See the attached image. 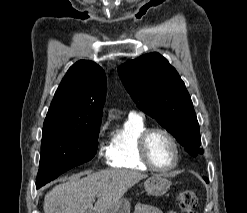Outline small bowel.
<instances>
[{"label":"small bowel","mask_w":247,"mask_h":213,"mask_svg":"<svg viewBox=\"0 0 247 213\" xmlns=\"http://www.w3.org/2000/svg\"><path fill=\"white\" fill-rule=\"evenodd\" d=\"M135 213H163V212L155 206L140 202L135 207ZM167 213H177V212L170 210Z\"/></svg>","instance_id":"1"}]
</instances>
